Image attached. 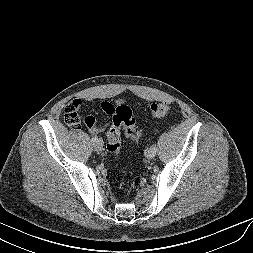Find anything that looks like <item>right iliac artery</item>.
I'll return each mask as SVG.
<instances>
[{
  "label": "right iliac artery",
  "mask_w": 253,
  "mask_h": 253,
  "mask_svg": "<svg viewBox=\"0 0 253 253\" xmlns=\"http://www.w3.org/2000/svg\"><path fill=\"white\" fill-rule=\"evenodd\" d=\"M96 140H97L96 137H92V139H91L92 142H95Z\"/></svg>",
  "instance_id": "right-iliac-artery-1"
}]
</instances>
